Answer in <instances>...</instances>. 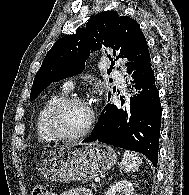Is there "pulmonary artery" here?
Segmentation results:
<instances>
[{
    "mask_svg": "<svg viewBox=\"0 0 189 195\" xmlns=\"http://www.w3.org/2000/svg\"><path fill=\"white\" fill-rule=\"evenodd\" d=\"M64 88H65L66 90H72V89H73V83H72V81H67V82L65 83V85H64Z\"/></svg>",
    "mask_w": 189,
    "mask_h": 195,
    "instance_id": "pulmonary-artery-1",
    "label": "pulmonary artery"
}]
</instances>
